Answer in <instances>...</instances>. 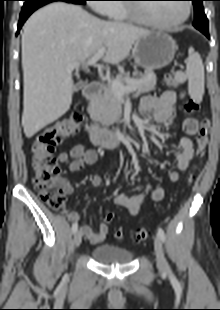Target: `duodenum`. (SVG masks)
Wrapping results in <instances>:
<instances>
[{
	"label": "duodenum",
	"instance_id": "obj_1",
	"mask_svg": "<svg viewBox=\"0 0 220 310\" xmlns=\"http://www.w3.org/2000/svg\"><path fill=\"white\" fill-rule=\"evenodd\" d=\"M102 90V83L92 81L85 89V97L94 101ZM88 136L92 144L106 148H115L123 145L127 140V134L121 131H112L106 128L91 126L88 129Z\"/></svg>",
	"mask_w": 220,
	"mask_h": 310
}]
</instances>
